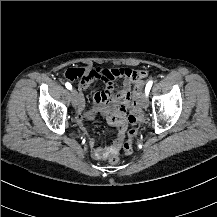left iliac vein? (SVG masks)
<instances>
[{"instance_id": "1", "label": "left iliac vein", "mask_w": 217, "mask_h": 217, "mask_svg": "<svg viewBox=\"0 0 217 217\" xmlns=\"http://www.w3.org/2000/svg\"><path fill=\"white\" fill-rule=\"evenodd\" d=\"M140 102H141L142 108L147 109V107H148V99H147V96L145 94H142L140 96Z\"/></svg>"}]
</instances>
